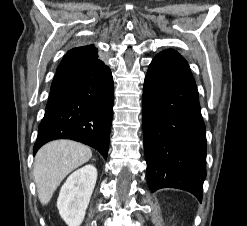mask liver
Segmentation results:
<instances>
[{
  "label": "liver",
  "instance_id": "1",
  "mask_svg": "<svg viewBox=\"0 0 247 226\" xmlns=\"http://www.w3.org/2000/svg\"><path fill=\"white\" fill-rule=\"evenodd\" d=\"M91 157V149L75 141L56 140L41 147L33 170L41 204H48L63 179Z\"/></svg>",
  "mask_w": 247,
  "mask_h": 226
}]
</instances>
